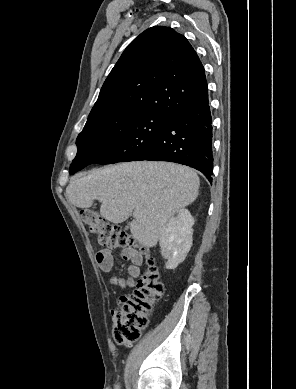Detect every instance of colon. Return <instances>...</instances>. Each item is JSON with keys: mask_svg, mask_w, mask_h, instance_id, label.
I'll return each instance as SVG.
<instances>
[{"mask_svg": "<svg viewBox=\"0 0 296 389\" xmlns=\"http://www.w3.org/2000/svg\"><path fill=\"white\" fill-rule=\"evenodd\" d=\"M81 218L87 229L97 234L99 243L110 248L138 247L146 256V269L136 283L133 293L122 296L121 307L112 312L113 336L117 344L130 345L136 342L148 324L154 304L164 294L161 273L147 249L122 227L107 223L98 212L83 209Z\"/></svg>", "mask_w": 296, "mask_h": 389, "instance_id": "1", "label": "colon"}]
</instances>
